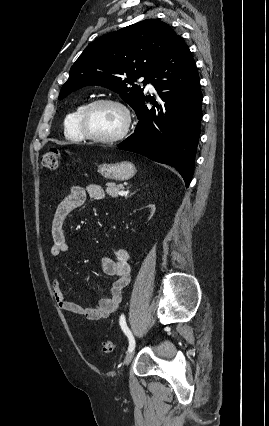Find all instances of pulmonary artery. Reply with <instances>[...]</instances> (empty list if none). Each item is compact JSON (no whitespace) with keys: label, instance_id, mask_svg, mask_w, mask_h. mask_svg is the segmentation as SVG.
<instances>
[{"label":"pulmonary artery","instance_id":"1","mask_svg":"<svg viewBox=\"0 0 269 426\" xmlns=\"http://www.w3.org/2000/svg\"><path fill=\"white\" fill-rule=\"evenodd\" d=\"M146 87L149 91L153 92L154 91V86L150 81L146 82Z\"/></svg>","mask_w":269,"mask_h":426}]
</instances>
